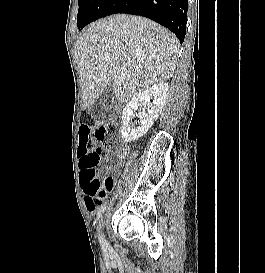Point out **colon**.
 Masks as SVG:
<instances>
[{"label":"colon","instance_id":"colon-1","mask_svg":"<svg viewBox=\"0 0 265 273\" xmlns=\"http://www.w3.org/2000/svg\"><path fill=\"white\" fill-rule=\"evenodd\" d=\"M119 128V120L113 119L95 129H79V148L81 184L85 193L94 196H106L113 187L111 177L101 181L98 178V159L100 147L98 144H109Z\"/></svg>","mask_w":265,"mask_h":273}]
</instances>
